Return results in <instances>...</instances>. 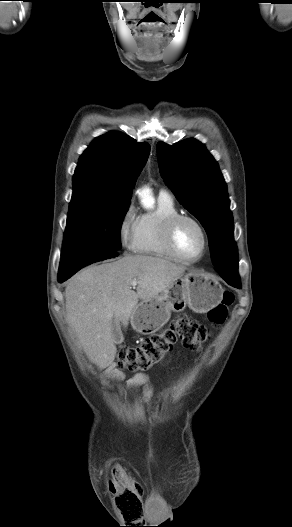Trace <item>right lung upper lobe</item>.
I'll list each match as a JSON object with an SVG mask.
<instances>
[{
  "instance_id": "right-lung-upper-lobe-1",
  "label": "right lung upper lobe",
  "mask_w": 292,
  "mask_h": 527,
  "mask_svg": "<svg viewBox=\"0 0 292 527\" xmlns=\"http://www.w3.org/2000/svg\"><path fill=\"white\" fill-rule=\"evenodd\" d=\"M149 152L148 143H138L121 132L102 135L81 155L73 189L96 190L112 199L130 200Z\"/></svg>"
}]
</instances>
